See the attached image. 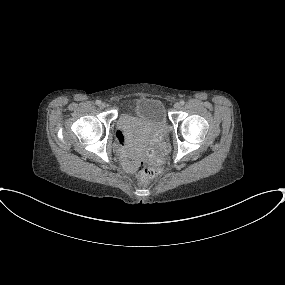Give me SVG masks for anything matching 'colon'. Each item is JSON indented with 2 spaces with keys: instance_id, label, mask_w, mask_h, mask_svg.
<instances>
[{
  "instance_id": "1",
  "label": "colon",
  "mask_w": 285,
  "mask_h": 285,
  "mask_svg": "<svg viewBox=\"0 0 285 285\" xmlns=\"http://www.w3.org/2000/svg\"><path fill=\"white\" fill-rule=\"evenodd\" d=\"M146 157L151 167H146L143 163H135L132 168L137 171L138 179L141 182H146L154 178L157 169L163 164V157L157 154L153 149H149L146 153Z\"/></svg>"
}]
</instances>
